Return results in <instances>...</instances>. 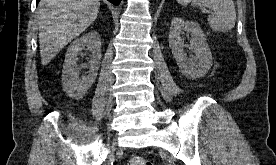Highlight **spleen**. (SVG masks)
Wrapping results in <instances>:
<instances>
[{"instance_id":"obj_1","label":"spleen","mask_w":276,"mask_h":165,"mask_svg":"<svg viewBox=\"0 0 276 165\" xmlns=\"http://www.w3.org/2000/svg\"><path fill=\"white\" fill-rule=\"evenodd\" d=\"M181 5H188L191 0H176ZM213 13L208 16L212 30L226 32L235 26L236 12L233 0H200Z\"/></svg>"}]
</instances>
